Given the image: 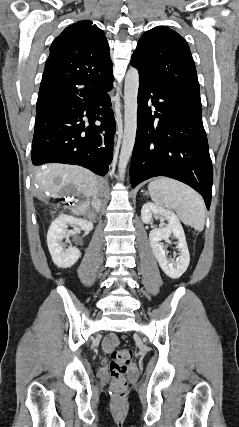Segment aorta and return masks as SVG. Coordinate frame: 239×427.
<instances>
[{"label": "aorta", "mask_w": 239, "mask_h": 427, "mask_svg": "<svg viewBox=\"0 0 239 427\" xmlns=\"http://www.w3.org/2000/svg\"><path fill=\"white\" fill-rule=\"evenodd\" d=\"M139 88V73L130 68L125 77L124 86V135L119 157V176L124 178L125 169L131 157L135 144L137 130V96Z\"/></svg>", "instance_id": "aorta-1"}]
</instances>
